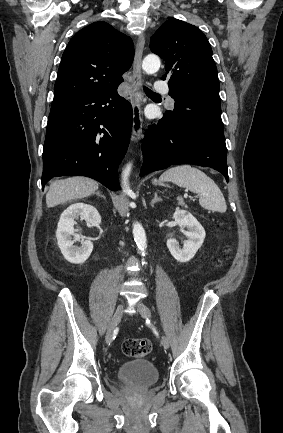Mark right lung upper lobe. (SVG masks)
I'll return each instance as SVG.
<instances>
[{"instance_id": "cb5924a9", "label": "right lung upper lobe", "mask_w": 283, "mask_h": 433, "mask_svg": "<svg viewBox=\"0 0 283 433\" xmlns=\"http://www.w3.org/2000/svg\"><path fill=\"white\" fill-rule=\"evenodd\" d=\"M133 58L131 38L110 24L94 22L81 29L62 56L52 105L117 88Z\"/></svg>"}]
</instances>
